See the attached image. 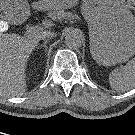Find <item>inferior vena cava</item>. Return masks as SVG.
<instances>
[{
	"label": "inferior vena cava",
	"instance_id": "inferior-vena-cava-1",
	"mask_svg": "<svg viewBox=\"0 0 135 135\" xmlns=\"http://www.w3.org/2000/svg\"><path fill=\"white\" fill-rule=\"evenodd\" d=\"M56 36V33L51 32V31H42L39 35L40 39H45V38H53Z\"/></svg>",
	"mask_w": 135,
	"mask_h": 135
}]
</instances>
